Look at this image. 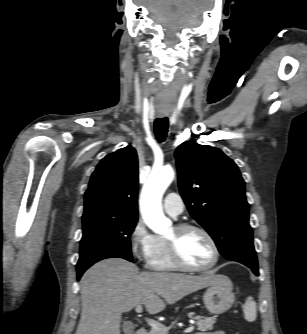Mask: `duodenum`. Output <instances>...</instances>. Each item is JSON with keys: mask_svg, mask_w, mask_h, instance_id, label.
Segmentation results:
<instances>
[{"mask_svg": "<svg viewBox=\"0 0 307 334\" xmlns=\"http://www.w3.org/2000/svg\"><path fill=\"white\" fill-rule=\"evenodd\" d=\"M135 334H147V330L144 327H140L136 330Z\"/></svg>", "mask_w": 307, "mask_h": 334, "instance_id": "duodenum-1", "label": "duodenum"}]
</instances>
